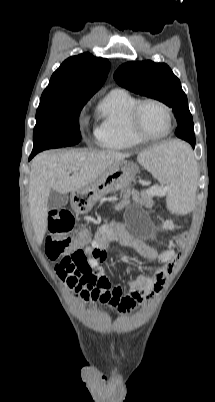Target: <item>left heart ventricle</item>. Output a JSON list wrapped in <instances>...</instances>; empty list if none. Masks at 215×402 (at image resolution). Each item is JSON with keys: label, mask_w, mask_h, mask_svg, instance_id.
Segmentation results:
<instances>
[{"label": "left heart ventricle", "mask_w": 215, "mask_h": 402, "mask_svg": "<svg viewBox=\"0 0 215 402\" xmlns=\"http://www.w3.org/2000/svg\"><path fill=\"white\" fill-rule=\"evenodd\" d=\"M142 129L151 135H160L168 129V118L165 111L155 104L145 105L140 114Z\"/></svg>", "instance_id": "1"}]
</instances>
